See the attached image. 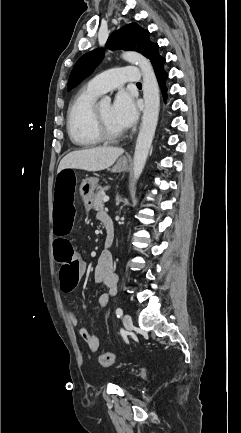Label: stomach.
Wrapping results in <instances>:
<instances>
[{"label":"stomach","mask_w":241,"mask_h":433,"mask_svg":"<svg viewBox=\"0 0 241 433\" xmlns=\"http://www.w3.org/2000/svg\"><path fill=\"white\" fill-rule=\"evenodd\" d=\"M128 166V160L125 157H121L113 166L112 172H123L127 170ZM97 184V178H88L83 180L79 185V195L86 208H90L94 201V191Z\"/></svg>","instance_id":"1"}]
</instances>
